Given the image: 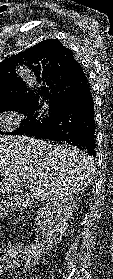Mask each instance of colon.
<instances>
[{"label": "colon", "mask_w": 113, "mask_h": 279, "mask_svg": "<svg viewBox=\"0 0 113 279\" xmlns=\"http://www.w3.org/2000/svg\"><path fill=\"white\" fill-rule=\"evenodd\" d=\"M34 248H38L37 244H35ZM26 257L27 255L21 251L7 247L2 248L0 245V265H6L14 259L22 262L26 260Z\"/></svg>", "instance_id": "5ec220e1"}]
</instances>
